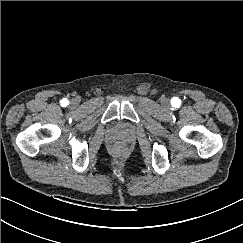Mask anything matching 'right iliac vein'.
I'll use <instances>...</instances> for the list:
<instances>
[{"label":"right iliac vein","instance_id":"obj_1","mask_svg":"<svg viewBox=\"0 0 243 243\" xmlns=\"http://www.w3.org/2000/svg\"><path fill=\"white\" fill-rule=\"evenodd\" d=\"M71 104H76V101H72Z\"/></svg>","mask_w":243,"mask_h":243}]
</instances>
